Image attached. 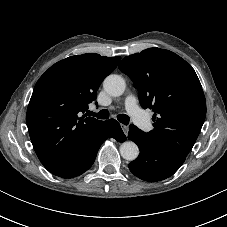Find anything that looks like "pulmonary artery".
Listing matches in <instances>:
<instances>
[{
  "instance_id": "obj_1",
  "label": "pulmonary artery",
  "mask_w": 227,
  "mask_h": 227,
  "mask_svg": "<svg viewBox=\"0 0 227 227\" xmlns=\"http://www.w3.org/2000/svg\"><path fill=\"white\" fill-rule=\"evenodd\" d=\"M125 108L133 120L144 130L150 128V123L145 119L141 109L138 106L137 98L134 95H128L125 99Z\"/></svg>"
}]
</instances>
